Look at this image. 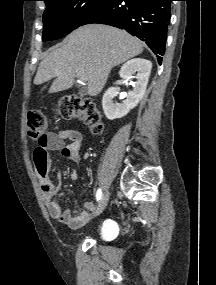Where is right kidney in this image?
Here are the masks:
<instances>
[{
  "label": "right kidney",
  "mask_w": 216,
  "mask_h": 285,
  "mask_svg": "<svg viewBox=\"0 0 216 285\" xmlns=\"http://www.w3.org/2000/svg\"><path fill=\"white\" fill-rule=\"evenodd\" d=\"M151 69V61L142 58L131 59L121 67L120 77L127 81L135 78L136 82L133 83V90L128 92L126 100L122 103L113 102L114 97L118 94L117 88L110 87L104 93L102 106L109 120L122 118L137 106L145 93ZM136 72L137 75L134 76Z\"/></svg>",
  "instance_id": "1"
}]
</instances>
